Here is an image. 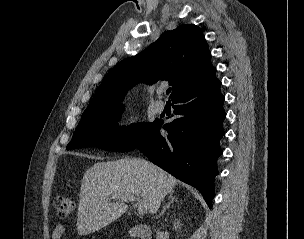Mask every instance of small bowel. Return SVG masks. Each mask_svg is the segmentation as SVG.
Returning <instances> with one entry per match:
<instances>
[{
	"label": "small bowel",
	"mask_w": 304,
	"mask_h": 239,
	"mask_svg": "<svg viewBox=\"0 0 304 239\" xmlns=\"http://www.w3.org/2000/svg\"><path fill=\"white\" fill-rule=\"evenodd\" d=\"M64 231H65L64 225L62 224L57 225L52 233V239H61Z\"/></svg>",
	"instance_id": "c3829d8e"
}]
</instances>
